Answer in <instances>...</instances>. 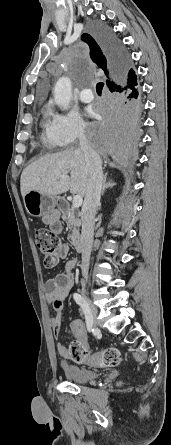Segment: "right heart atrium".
Returning <instances> with one entry per match:
<instances>
[{
	"label": "right heart atrium",
	"mask_w": 171,
	"mask_h": 445,
	"mask_svg": "<svg viewBox=\"0 0 171 445\" xmlns=\"http://www.w3.org/2000/svg\"><path fill=\"white\" fill-rule=\"evenodd\" d=\"M55 133L62 145H70L87 136L88 128L81 116L70 111L53 118Z\"/></svg>",
	"instance_id": "d8ad5b80"
}]
</instances>
